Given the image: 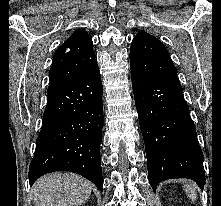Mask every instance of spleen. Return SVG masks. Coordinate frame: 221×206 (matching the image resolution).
Segmentation results:
<instances>
[{
  "instance_id": "3e777b00",
  "label": "spleen",
  "mask_w": 221,
  "mask_h": 206,
  "mask_svg": "<svg viewBox=\"0 0 221 206\" xmlns=\"http://www.w3.org/2000/svg\"><path fill=\"white\" fill-rule=\"evenodd\" d=\"M186 192L188 197L194 202L197 199L196 187L193 184H188L186 186Z\"/></svg>"
}]
</instances>
